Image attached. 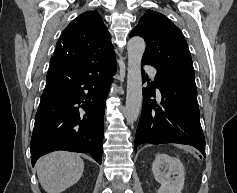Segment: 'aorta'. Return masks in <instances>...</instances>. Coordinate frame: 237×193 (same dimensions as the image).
I'll use <instances>...</instances> for the list:
<instances>
[{"label": "aorta", "instance_id": "aorta-1", "mask_svg": "<svg viewBox=\"0 0 237 193\" xmlns=\"http://www.w3.org/2000/svg\"><path fill=\"white\" fill-rule=\"evenodd\" d=\"M145 47V41L141 37H132L128 41L127 95L124 111L127 123L137 120L142 106L141 60Z\"/></svg>", "mask_w": 237, "mask_h": 193}]
</instances>
